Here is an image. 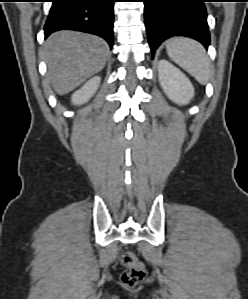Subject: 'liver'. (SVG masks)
Instances as JSON below:
<instances>
[{
    "label": "liver",
    "instance_id": "liver-1",
    "mask_svg": "<svg viewBox=\"0 0 248 299\" xmlns=\"http://www.w3.org/2000/svg\"><path fill=\"white\" fill-rule=\"evenodd\" d=\"M44 54L47 78L53 89L64 95L104 68L109 46L94 35L59 31L46 40Z\"/></svg>",
    "mask_w": 248,
    "mask_h": 299
}]
</instances>
